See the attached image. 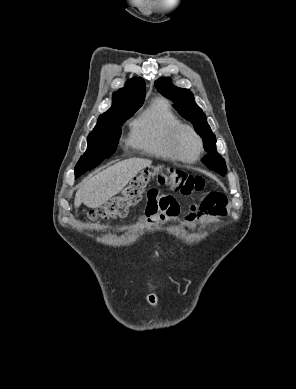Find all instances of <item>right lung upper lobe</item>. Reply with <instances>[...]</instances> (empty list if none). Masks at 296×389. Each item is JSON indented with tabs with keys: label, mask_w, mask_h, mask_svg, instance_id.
Returning <instances> with one entry per match:
<instances>
[{
	"label": "right lung upper lobe",
	"mask_w": 296,
	"mask_h": 389,
	"mask_svg": "<svg viewBox=\"0 0 296 389\" xmlns=\"http://www.w3.org/2000/svg\"><path fill=\"white\" fill-rule=\"evenodd\" d=\"M145 88V82L142 78H132L126 83L124 88L113 94L112 107L100 115L99 118H104L126 109L141 107L145 98Z\"/></svg>",
	"instance_id": "right-lung-upper-lobe-1"
}]
</instances>
